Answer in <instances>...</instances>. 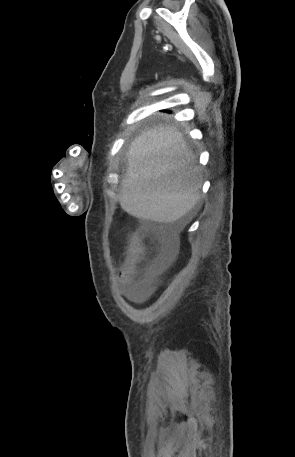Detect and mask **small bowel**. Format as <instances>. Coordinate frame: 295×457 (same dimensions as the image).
<instances>
[{
    "label": "small bowel",
    "instance_id": "1",
    "mask_svg": "<svg viewBox=\"0 0 295 457\" xmlns=\"http://www.w3.org/2000/svg\"><path fill=\"white\" fill-rule=\"evenodd\" d=\"M124 280H127V277ZM146 292L147 288L144 285H136L129 290L128 295L132 300L140 302L144 300Z\"/></svg>",
    "mask_w": 295,
    "mask_h": 457
}]
</instances>
